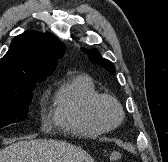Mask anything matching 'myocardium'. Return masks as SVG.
Masks as SVG:
<instances>
[{
    "instance_id": "f54148a6",
    "label": "myocardium",
    "mask_w": 168,
    "mask_h": 162,
    "mask_svg": "<svg viewBox=\"0 0 168 162\" xmlns=\"http://www.w3.org/2000/svg\"><path fill=\"white\" fill-rule=\"evenodd\" d=\"M105 104H111L116 111V118L110 120L106 117L103 111ZM91 112L95 119L104 125L107 129H112L119 126L123 120V108L120 102L110 94H98L91 104Z\"/></svg>"
}]
</instances>
